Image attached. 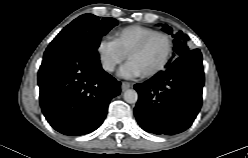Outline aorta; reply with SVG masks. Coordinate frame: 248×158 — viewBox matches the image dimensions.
Wrapping results in <instances>:
<instances>
[{
    "instance_id": "762f6f07",
    "label": "aorta",
    "mask_w": 248,
    "mask_h": 158,
    "mask_svg": "<svg viewBox=\"0 0 248 158\" xmlns=\"http://www.w3.org/2000/svg\"><path fill=\"white\" fill-rule=\"evenodd\" d=\"M123 97L127 103L133 104L138 100V93L134 89H128L124 92Z\"/></svg>"
}]
</instances>
